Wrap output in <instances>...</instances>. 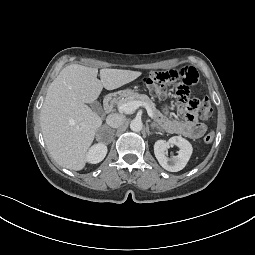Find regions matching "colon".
Segmentation results:
<instances>
[{"instance_id": "obj_1", "label": "colon", "mask_w": 255, "mask_h": 255, "mask_svg": "<svg viewBox=\"0 0 255 255\" xmlns=\"http://www.w3.org/2000/svg\"><path fill=\"white\" fill-rule=\"evenodd\" d=\"M198 73L192 67H183L179 70L152 71L143 78V84L154 94H162L164 90L176 83L177 94L181 107L191 113L199 112L203 119H208L212 113V107L208 98H189L190 87L196 84ZM215 134L209 132L205 135L206 143L213 142Z\"/></svg>"}]
</instances>
